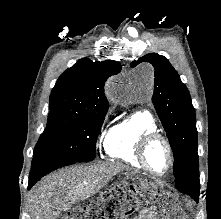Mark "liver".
Here are the masks:
<instances>
[{
  "label": "liver",
  "mask_w": 221,
  "mask_h": 219,
  "mask_svg": "<svg viewBox=\"0 0 221 219\" xmlns=\"http://www.w3.org/2000/svg\"><path fill=\"white\" fill-rule=\"evenodd\" d=\"M127 167L119 162L69 167L39 181L30 192L31 219H57L75 203L102 189Z\"/></svg>",
  "instance_id": "liver-1"
}]
</instances>
